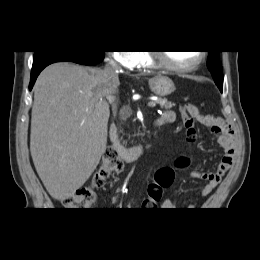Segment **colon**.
Masks as SVG:
<instances>
[{
  "label": "colon",
  "instance_id": "1",
  "mask_svg": "<svg viewBox=\"0 0 260 260\" xmlns=\"http://www.w3.org/2000/svg\"><path fill=\"white\" fill-rule=\"evenodd\" d=\"M199 110L197 106L187 103L182 108V120L186 129V138L189 142H194L197 138V132L194 127L195 117ZM189 164V159L181 157L175 162V167H161L155 174L153 180L147 188L146 201L158 203L166 189L171 187L174 181L175 168H182ZM122 167V163L111 148L107 149L102 163L92 178L91 186L83 187L77 190L74 194L66 197L63 204L71 209H86L89 208L95 201L94 188L104 187L111 176L118 172Z\"/></svg>",
  "mask_w": 260,
  "mask_h": 260
}]
</instances>
